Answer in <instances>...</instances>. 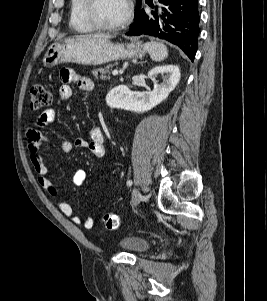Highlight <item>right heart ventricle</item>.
Returning a JSON list of instances; mask_svg holds the SVG:
<instances>
[{
    "label": "right heart ventricle",
    "instance_id": "right-heart-ventricle-1",
    "mask_svg": "<svg viewBox=\"0 0 267 301\" xmlns=\"http://www.w3.org/2000/svg\"><path fill=\"white\" fill-rule=\"evenodd\" d=\"M85 0L70 1L69 25L78 33H91L95 29L89 24L84 14Z\"/></svg>",
    "mask_w": 267,
    "mask_h": 301
}]
</instances>
